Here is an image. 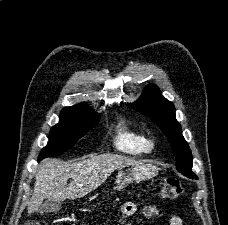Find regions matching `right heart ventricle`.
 <instances>
[{"label":"right heart ventricle","mask_w":228,"mask_h":225,"mask_svg":"<svg viewBox=\"0 0 228 225\" xmlns=\"http://www.w3.org/2000/svg\"><path fill=\"white\" fill-rule=\"evenodd\" d=\"M113 147L120 153L138 156L150 152L153 145L148 134L122 124L115 134Z\"/></svg>","instance_id":"right-heart-ventricle-1"}]
</instances>
